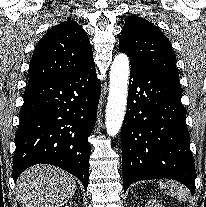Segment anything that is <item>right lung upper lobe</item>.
Listing matches in <instances>:
<instances>
[{
    "instance_id": "right-lung-upper-lobe-1",
    "label": "right lung upper lobe",
    "mask_w": 206,
    "mask_h": 207,
    "mask_svg": "<svg viewBox=\"0 0 206 207\" xmlns=\"http://www.w3.org/2000/svg\"><path fill=\"white\" fill-rule=\"evenodd\" d=\"M94 64L86 32L73 20L51 28L30 61L28 85L68 78Z\"/></svg>"
}]
</instances>
